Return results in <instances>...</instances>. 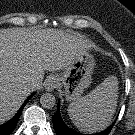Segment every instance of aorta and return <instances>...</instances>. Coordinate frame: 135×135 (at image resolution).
<instances>
[{
	"mask_svg": "<svg viewBox=\"0 0 135 135\" xmlns=\"http://www.w3.org/2000/svg\"><path fill=\"white\" fill-rule=\"evenodd\" d=\"M40 103L43 108H53L56 105L55 96L52 93H44L40 98Z\"/></svg>",
	"mask_w": 135,
	"mask_h": 135,
	"instance_id": "762f6f07",
	"label": "aorta"
}]
</instances>
